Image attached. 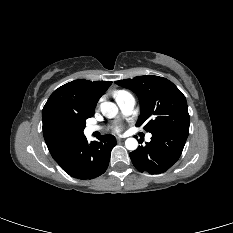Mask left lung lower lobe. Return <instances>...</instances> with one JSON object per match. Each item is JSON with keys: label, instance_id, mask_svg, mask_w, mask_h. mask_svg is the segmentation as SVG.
<instances>
[{"label": "left lung lower lobe", "instance_id": "0a47b994", "mask_svg": "<svg viewBox=\"0 0 233 233\" xmlns=\"http://www.w3.org/2000/svg\"><path fill=\"white\" fill-rule=\"evenodd\" d=\"M189 134V128L178 127L152 134L151 142L130 153L140 172L160 174L179 159Z\"/></svg>", "mask_w": 233, "mask_h": 233}]
</instances>
